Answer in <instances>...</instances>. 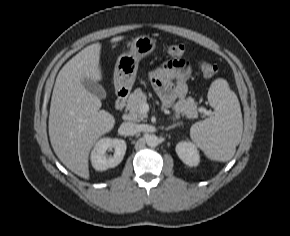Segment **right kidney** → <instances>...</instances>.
I'll use <instances>...</instances> for the list:
<instances>
[{
  "mask_svg": "<svg viewBox=\"0 0 290 236\" xmlns=\"http://www.w3.org/2000/svg\"><path fill=\"white\" fill-rule=\"evenodd\" d=\"M114 149V155L107 157L106 151ZM126 152V142L122 139L104 137L98 140L91 152V163L95 170L105 171L120 164Z\"/></svg>",
  "mask_w": 290,
  "mask_h": 236,
  "instance_id": "1",
  "label": "right kidney"
}]
</instances>
